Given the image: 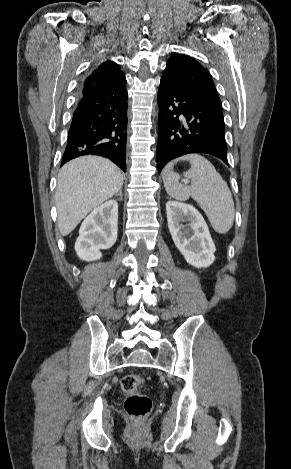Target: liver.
Returning <instances> with one entry per match:
<instances>
[{
    "label": "liver",
    "mask_w": 291,
    "mask_h": 469,
    "mask_svg": "<svg viewBox=\"0 0 291 469\" xmlns=\"http://www.w3.org/2000/svg\"><path fill=\"white\" fill-rule=\"evenodd\" d=\"M122 186L121 170L107 159L83 156L65 164L55 194L60 233H71L89 212L112 198Z\"/></svg>",
    "instance_id": "obj_1"
}]
</instances>
